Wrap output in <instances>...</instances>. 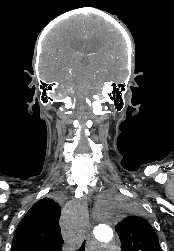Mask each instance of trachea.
Instances as JSON below:
<instances>
[{"mask_svg":"<svg viewBox=\"0 0 174 251\" xmlns=\"http://www.w3.org/2000/svg\"><path fill=\"white\" fill-rule=\"evenodd\" d=\"M78 251H85V241L82 243V245Z\"/></svg>","mask_w":174,"mask_h":251,"instance_id":"obj_1","label":"trachea"}]
</instances>
